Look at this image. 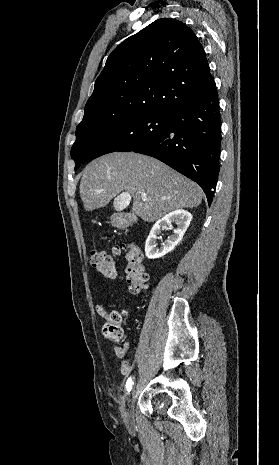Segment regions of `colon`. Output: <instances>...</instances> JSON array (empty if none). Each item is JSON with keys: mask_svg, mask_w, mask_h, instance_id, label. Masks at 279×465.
<instances>
[{"mask_svg": "<svg viewBox=\"0 0 279 465\" xmlns=\"http://www.w3.org/2000/svg\"><path fill=\"white\" fill-rule=\"evenodd\" d=\"M126 251L127 254V280L130 285V291L133 294H139L148 286L149 276L144 265V254L142 250L131 243H121L115 245L113 254H119ZM90 262L92 266L106 278L114 279L117 275L113 257L107 252L99 249H93L90 252ZM106 319L104 326L105 335L114 342H120L124 337V331L121 326L124 315L121 312L112 311L104 312Z\"/></svg>", "mask_w": 279, "mask_h": 465, "instance_id": "obj_1", "label": "colon"}]
</instances>
